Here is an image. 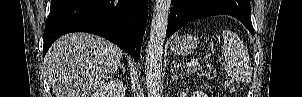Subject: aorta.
<instances>
[{"instance_id":"1","label":"aorta","mask_w":302,"mask_h":97,"mask_svg":"<svg viewBox=\"0 0 302 97\" xmlns=\"http://www.w3.org/2000/svg\"><path fill=\"white\" fill-rule=\"evenodd\" d=\"M170 0H156L151 22L150 38L146 49V88L149 97H158L161 83L162 54L168 17Z\"/></svg>"}]
</instances>
